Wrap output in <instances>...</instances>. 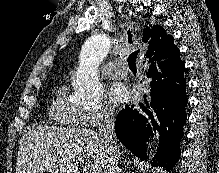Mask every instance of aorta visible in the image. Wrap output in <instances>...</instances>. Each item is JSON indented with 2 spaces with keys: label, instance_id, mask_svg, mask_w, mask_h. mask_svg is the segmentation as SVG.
I'll list each match as a JSON object with an SVG mask.
<instances>
[{
  "label": "aorta",
  "instance_id": "1",
  "mask_svg": "<svg viewBox=\"0 0 219 173\" xmlns=\"http://www.w3.org/2000/svg\"><path fill=\"white\" fill-rule=\"evenodd\" d=\"M109 49L110 40L104 33L92 35L85 41L81 49L79 68L72 78L75 93L82 101H95L101 97L102 86L97 68Z\"/></svg>",
  "mask_w": 219,
  "mask_h": 173
}]
</instances>
